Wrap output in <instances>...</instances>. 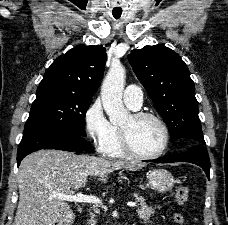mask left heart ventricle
I'll return each instance as SVG.
<instances>
[{"mask_svg": "<svg viewBox=\"0 0 228 225\" xmlns=\"http://www.w3.org/2000/svg\"><path fill=\"white\" fill-rule=\"evenodd\" d=\"M123 128L129 133L132 144L142 154L153 155L164 144V131L159 122L152 118L137 121L130 117Z\"/></svg>", "mask_w": 228, "mask_h": 225, "instance_id": "left-heart-ventricle-1", "label": "left heart ventricle"}]
</instances>
